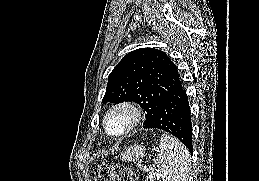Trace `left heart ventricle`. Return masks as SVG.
<instances>
[{"label":"left heart ventricle","instance_id":"b2bd125f","mask_svg":"<svg viewBox=\"0 0 259 181\" xmlns=\"http://www.w3.org/2000/svg\"><path fill=\"white\" fill-rule=\"evenodd\" d=\"M127 122V116L123 113L115 114L110 119V129L112 131L121 130Z\"/></svg>","mask_w":259,"mask_h":181}]
</instances>
